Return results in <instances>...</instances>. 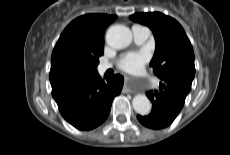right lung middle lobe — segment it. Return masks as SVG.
Masks as SVG:
<instances>
[{
  "label": "right lung middle lobe",
  "instance_id": "dd1d6c3e",
  "mask_svg": "<svg viewBox=\"0 0 230 155\" xmlns=\"http://www.w3.org/2000/svg\"><path fill=\"white\" fill-rule=\"evenodd\" d=\"M99 62H96L91 65H78V64H71L66 66L63 71L62 75L64 78H75V77H80V76H85L89 75L92 73H95L96 67Z\"/></svg>",
  "mask_w": 230,
  "mask_h": 155
}]
</instances>
